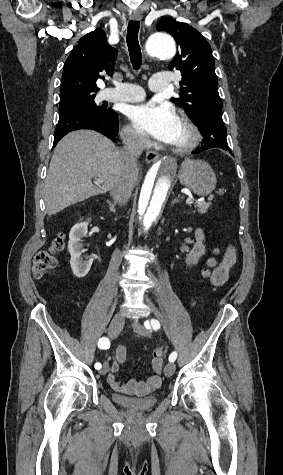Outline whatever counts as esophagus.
<instances>
[{
	"label": "esophagus",
	"instance_id": "34e87169",
	"mask_svg": "<svg viewBox=\"0 0 283 475\" xmlns=\"http://www.w3.org/2000/svg\"><path fill=\"white\" fill-rule=\"evenodd\" d=\"M129 18H130V20L140 21L142 19V13L139 12V11H134L133 13H131ZM158 159H159V153L158 152L153 151V150H149L146 153L147 163L155 162ZM169 161H170V163H175V159H173L172 157H169Z\"/></svg>",
	"mask_w": 283,
	"mask_h": 475
}]
</instances>
